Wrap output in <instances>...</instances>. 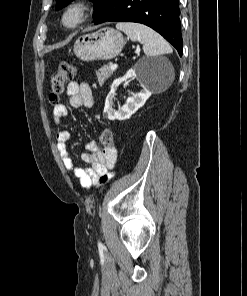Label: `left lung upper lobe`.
Here are the masks:
<instances>
[{
    "mask_svg": "<svg viewBox=\"0 0 247 296\" xmlns=\"http://www.w3.org/2000/svg\"><path fill=\"white\" fill-rule=\"evenodd\" d=\"M72 0H58L56 3V9H60L62 7H64L65 5H67L69 2H71ZM95 3V11L93 14V18H96L97 16H99L110 4V2L112 0H91Z\"/></svg>",
    "mask_w": 247,
    "mask_h": 296,
    "instance_id": "obj_1",
    "label": "left lung upper lobe"
}]
</instances>
